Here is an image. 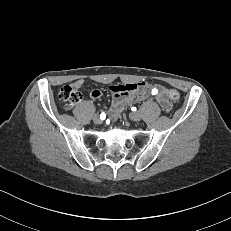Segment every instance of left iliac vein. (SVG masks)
I'll use <instances>...</instances> for the list:
<instances>
[{"label": "left iliac vein", "mask_w": 231, "mask_h": 231, "mask_svg": "<svg viewBox=\"0 0 231 231\" xmlns=\"http://www.w3.org/2000/svg\"><path fill=\"white\" fill-rule=\"evenodd\" d=\"M130 117L133 121L138 122L141 120L142 116L139 112H133V113H131Z\"/></svg>", "instance_id": "obj_1"}]
</instances>
